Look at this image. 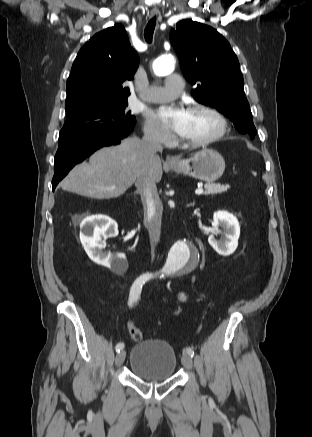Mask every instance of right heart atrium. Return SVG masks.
Returning a JSON list of instances; mask_svg holds the SVG:
<instances>
[{
	"label": "right heart atrium",
	"instance_id": "1",
	"mask_svg": "<svg viewBox=\"0 0 312 437\" xmlns=\"http://www.w3.org/2000/svg\"><path fill=\"white\" fill-rule=\"evenodd\" d=\"M144 134L149 140L161 145H168L172 140V136L168 131L150 119L146 120L144 124Z\"/></svg>",
	"mask_w": 312,
	"mask_h": 437
}]
</instances>
